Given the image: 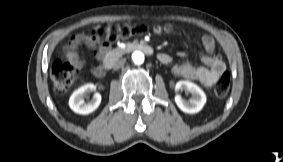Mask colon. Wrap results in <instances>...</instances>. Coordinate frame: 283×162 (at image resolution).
<instances>
[{
	"mask_svg": "<svg viewBox=\"0 0 283 162\" xmlns=\"http://www.w3.org/2000/svg\"><path fill=\"white\" fill-rule=\"evenodd\" d=\"M145 25H109L98 24L91 30L92 37L97 40L108 43L117 39H125L132 35L145 33ZM78 69L68 61L55 62L51 68L50 76L54 88L57 91H65L71 87L77 76ZM230 89V76L224 73L215 86L214 92L217 97H225Z\"/></svg>",
	"mask_w": 283,
	"mask_h": 162,
	"instance_id": "obj_1",
	"label": "colon"
}]
</instances>
